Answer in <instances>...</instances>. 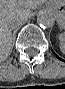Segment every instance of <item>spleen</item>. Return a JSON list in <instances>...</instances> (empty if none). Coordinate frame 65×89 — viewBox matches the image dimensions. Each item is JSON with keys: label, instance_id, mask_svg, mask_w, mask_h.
Listing matches in <instances>:
<instances>
[{"label": "spleen", "instance_id": "obj_1", "mask_svg": "<svg viewBox=\"0 0 65 89\" xmlns=\"http://www.w3.org/2000/svg\"><path fill=\"white\" fill-rule=\"evenodd\" d=\"M59 46L62 53L65 52V33H60L58 35Z\"/></svg>", "mask_w": 65, "mask_h": 89}]
</instances>
